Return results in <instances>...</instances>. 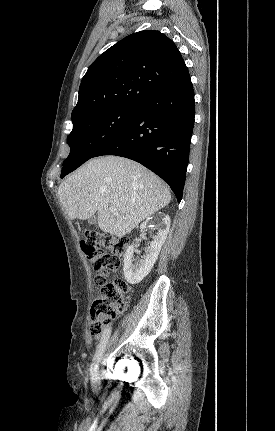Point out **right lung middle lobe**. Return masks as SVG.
Here are the masks:
<instances>
[{"label":"right lung middle lobe","mask_w":275,"mask_h":431,"mask_svg":"<svg viewBox=\"0 0 275 431\" xmlns=\"http://www.w3.org/2000/svg\"><path fill=\"white\" fill-rule=\"evenodd\" d=\"M138 107L116 106L89 113L73 122L67 137L71 148L61 178L74 171L116 137L136 116Z\"/></svg>","instance_id":"1"}]
</instances>
